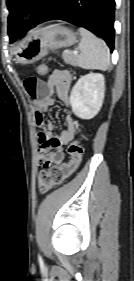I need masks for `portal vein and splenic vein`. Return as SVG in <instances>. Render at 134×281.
I'll list each match as a JSON object with an SVG mask.
<instances>
[{"instance_id": "obj_1", "label": "portal vein and splenic vein", "mask_w": 134, "mask_h": 281, "mask_svg": "<svg viewBox=\"0 0 134 281\" xmlns=\"http://www.w3.org/2000/svg\"><path fill=\"white\" fill-rule=\"evenodd\" d=\"M78 53H79V52H78L77 50H74V51H73V54H74V55H77Z\"/></svg>"}]
</instances>
